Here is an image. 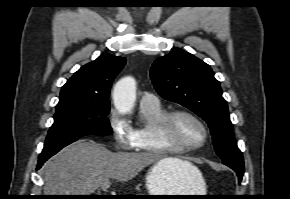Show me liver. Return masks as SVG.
I'll list each match as a JSON object with an SVG mask.
<instances>
[{
	"label": "liver",
	"instance_id": "6515ba94",
	"mask_svg": "<svg viewBox=\"0 0 290 199\" xmlns=\"http://www.w3.org/2000/svg\"><path fill=\"white\" fill-rule=\"evenodd\" d=\"M174 172L198 170L190 162L148 152L109 151L93 140L81 139L63 148L43 166L44 195H90L113 178L126 182L152 163Z\"/></svg>",
	"mask_w": 290,
	"mask_h": 199
}]
</instances>
